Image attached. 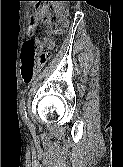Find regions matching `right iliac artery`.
<instances>
[{"label": "right iliac artery", "instance_id": "obj_1", "mask_svg": "<svg viewBox=\"0 0 123 167\" xmlns=\"http://www.w3.org/2000/svg\"><path fill=\"white\" fill-rule=\"evenodd\" d=\"M20 113H21L22 119L27 123L28 117H27L26 106H25L24 100H22L20 104Z\"/></svg>", "mask_w": 123, "mask_h": 167}]
</instances>
